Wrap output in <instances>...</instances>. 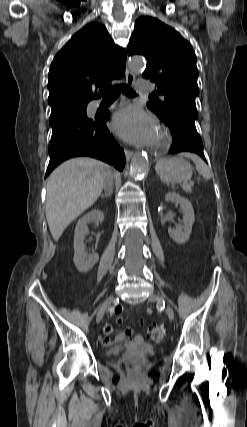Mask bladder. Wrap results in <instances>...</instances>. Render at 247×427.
Segmentation results:
<instances>
[{"label":"bladder","instance_id":"obj_1","mask_svg":"<svg viewBox=\"0 0 247 427\" xmlns=\"http://www.w3.org/2000/svg\"><path fill=\"white\" fill-rule=\"evenodd\" d=\"M132 348L136 351L143 353V354H153L155 352V347L150 344H143V345H115L108 348L107 353L108 355L115 356L119 354L121 351Z\"/></svg>","mask_w":247,"mask_h":427}]
</instances>
